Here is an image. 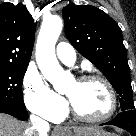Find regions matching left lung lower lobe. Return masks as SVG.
Masks as SVG:
<instances>
[{
	"instance_id": "obj_1",
	"label": "left lung lower lobe",
	"mask_w": 136,
	"mask_h": 136,
	"mask_svg": "<svg viewBox=\"0 0 136 136\" xmlns=\"http://www.w3.org/2000/svg\"><path fill=\"white\" fill-rule=\"evenodd\" d=\"M107 125H115L128 131L132 136H136V111H122L117 117L105 123Z\"/></svg>"
}]
</instances>
